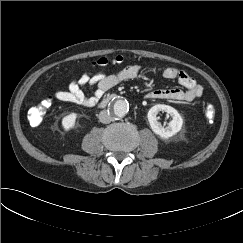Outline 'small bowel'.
Returning a JSON list of instances; mask_svg holds the SVG:
<instances>
[{"label": "small bowel", "instance_id": "small-bowel-1", "mask_svg": "<svg viewBox=\"0 0 243 243\" xmlns=\"http://www.w3.org/2000/svg\"><path fill=\"white\" fill-rule=\"evenodd\" d=\"M142 70L143 67L140 65H129L114 74L98 73L90 76L84 73L78 79L71 81L67 90L55 92V97L63 102L82 107H93L108 90L121 82L135 79ZM162 76L168 80H177L185 90L178 88L154 89L146 94V98L192 102L202 95V86L183 70L169 67L162 71ZM86 86L96 87L92 95L87 96L84 93L83 88Z\"/></svg>", "mask_w": 243, "mask_h": 243}]
</instances>
